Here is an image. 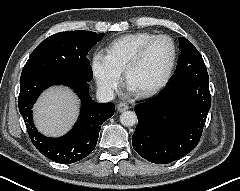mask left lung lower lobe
Returning a JSON list of instances; mask_svg holds the SVG:
<instances>
[{
  "label": "left lung lower lobe",
  "mask_w": 240,
  "mask_h": 191,
  "mask_svg": "<svg viewBox=\"0 0 240 191\" xmlns=\"http://www.w3.org/2000/svg\"><path fill=\"white\" fill-rule=\"evenodd\" d=\"M207 70L180 65L154 98L137 104L135 151L156 164L178 160L199 143L211 106Z\"/></svg>",
  "instance_id": "0a47b994"
}]
</instances>
